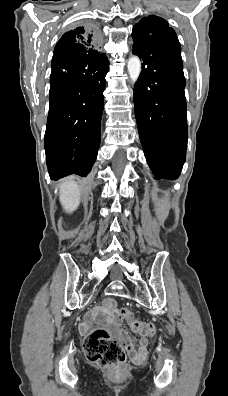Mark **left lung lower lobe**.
Masks as SVG:
<instances>
[{"label": "left lung lower lobe", "mask_w": 228, "mask_h": 396, "mask_svg": "<svg viewBox=\"0 0 228 396\" xmlns=\"http://www.w3.org/2000/svg\"><path fill=\"white\" fill-rule=\"evenodd\" d=\"M133 42V54L143 61L134 109L144 154L155 179H176L188 138L181 50L150 38Z\"/></svg>", "instance_id": "1"}]
</instances>
